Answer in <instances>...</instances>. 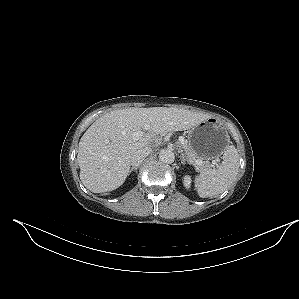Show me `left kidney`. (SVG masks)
I'll return each instance as SVG.
<instances>
[{"instance_id": "1", "label": "left kidney", "mask_w": 299, "mask_h": 299, "mask_svg": "<svg viewBox=\"0 0 299 299\" xmlns=\"http://www.w3.org/2000/svg\"><path fill=\"white\" fill-rule=\"evenodd\" d=\"M183 183H184V186L187 189L190 188V185H191V178H190V176H185Z\"/></svg>"}]
</instances>
